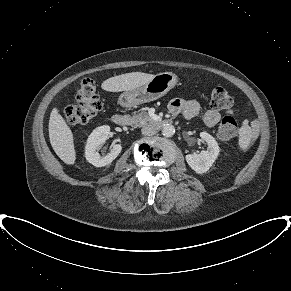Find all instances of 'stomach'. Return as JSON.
<instances>
[{
	"instance_id": "0dacf381",
	"label": "stomach",
	"mask_w": 291,
	"mask_h": 291,
	"mask_svg": "<svg viewBox=\"0 0 291 291\" xmlns=\"http://www.w3.org/2000/svg\"><path fill=\"white\" fill-rule=\"evenodd\" d=\"M177 83V75L164 72L155 75L148 83L136 89L123 92L118 99L122 107L131 108L136 105L156 100L167 94Z\"/></svg>"
}]
</instances>
